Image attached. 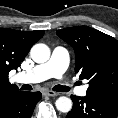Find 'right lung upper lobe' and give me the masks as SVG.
<instances>
[{
    "label": "right lung upper lobe",
    "mask_w": 118,
    "mask_h": 118,
    "mask_svg": "<svg viewBox=\"0 0 118 118\" xmlns=\"http://www.w3.org/2000/svg\"><path fill=\"white\" fill-rule=\"evenodd\" d=\"M43 35V30L28 32L0 28V101L22 92L9 82L8 74L19 67L30 48Z\"/></svg>",
    "instance_id": "right-lung-upper-lobe-1"
}]
</instances>
